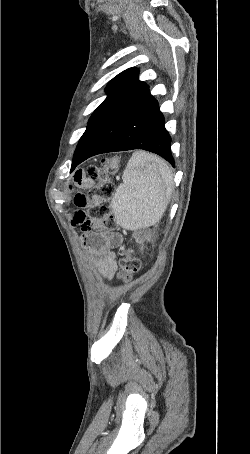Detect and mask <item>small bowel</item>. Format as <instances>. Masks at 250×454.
Segmentation results:
<instances>
[{
	"instance_id": "c3829d8e",
	"label": "small bowel",
	"mask_w": 250,
	"mask_h": 454,
	"mask_svg": "<svg viewBox=\"0 0 250 454\" xmlns=\"http://www.w3.org/2000/svg\"><path fill=\"white\" fill-rule=\"evenodd\" d=\"M74 183L82 189H88L93 184L92 180L88 179L82 171L75 172ZM74 204L78 210L72 217V223L81 226L83 231L82 242L93 255L95 266L104 277L110 279L117 270L116 256L112 249L121 244L122 236L118 233H106L91 229L92 221L87 219L83 210L87 205L85 194H76Z\"/></svg>"
}]
</instances>
